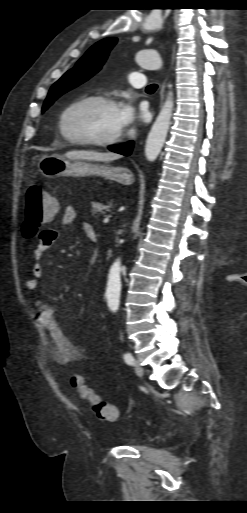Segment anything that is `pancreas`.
I'll list each match as a JSON object with an SVG mask.
<instances>
[{
    "label": "pancreas",
    "instance_id": "obj_1",
    "mask_svg": "<svg viewBox=\"0 0 247 513\" xmlns=\"http://www.w3.org/2000/svg\"><path fill=\"white\" fill-rule=\"evenodd\" d=\"M111 208H112L111 204L104 205L102 203L93 202L91 212H92V214H98V213L105 214L106 212H110Z\"/></svg>",
    "mask_w": 247,
    "mask_h": 513
}]
</instances>
